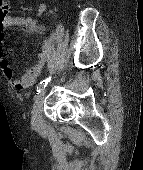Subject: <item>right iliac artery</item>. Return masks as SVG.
Segmentation results:
<instances>
[{
    "mask_svg": "<svg viewBox=\"0 0 143 170\" xmlns=\"http://www.w3.org/2000/svg\"><path fill=\"white\" fill-rule=\"evenodd\" d=\"M50 80H51V77L46 78V79L42 80V81L37 85V89H36L37 94L40 93V91L43 90V89L47 86V84H48V82H50Z\"/></svg>",
    "mask_w": 143,
    "mask_h": 170,
    "instance_id": "1",
    "label": "right iliac artery"
}]
</instances>
